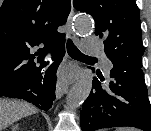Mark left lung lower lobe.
I'll return each mask as SVG.
<instances>
[{
    "instance_id": "1",
    "label": "left lung lower lobe",
    "mask_w": 151,
    "mask_h": 131,
    "mask_svg": "<svg viewBox=\"0 0 151 131\" xmlns=\"http://www.w3.org/2000/svg\"><path fill=\"white\" fill-rule=\"evenodd\" d=\"M95 72L104 82L101 71ZM110 78L102 84L94 77L80 114L82 131L120 126L151 131V105L141 68H113Z\"/></svg>"
}]
</instances>
